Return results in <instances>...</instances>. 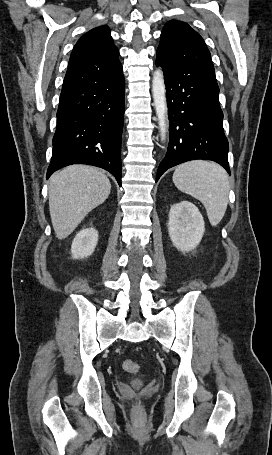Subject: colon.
Segmentation results:
<instances>
[{
    "mask_svg": "<svg viewBox=\"0 0 272 455\" xmlns=\"http://www.w3.org/2000/svg\"><path fill=\"white\" fill-rule=\"evenodd\" d=\"M139 368V364L133 360H125L123 362V369L129 373H137Z\"/></svg>",
    "mask_w": 272,
    "mask_h": 455,
    "instance_id": "obj_1",
    "label": "colon"
}]
</instances>
